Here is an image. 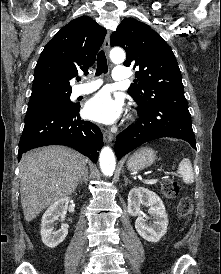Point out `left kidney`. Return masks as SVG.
<instances>
[{"instance_id": "obj_1", "label": "left kidney", "mask_w": 221, "mask_h": 274, "mask_svg": "<svg viewBox=\"0 0 221 274\" xmlns=\"http://www.w3.org/2000/svg\"><path fill=\"white\" fill-rule=\"evenodd\" d=\"M149 206L148 213L152 223L147 224V217L141 211L140 206ZM128 213L137 216L135 228L139 235L148 242H158L167 232L168 216L160 197L146 188L135 187L128 194Z\"/></svg>"}]
</instances>
